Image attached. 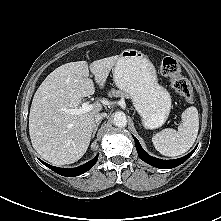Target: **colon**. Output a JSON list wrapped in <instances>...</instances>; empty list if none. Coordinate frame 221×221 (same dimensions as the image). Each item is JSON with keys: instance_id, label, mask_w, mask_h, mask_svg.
<instances>
[{"instance_id": "obj_1", "label": "colon", "mask_w": 221, "mask_h": 221, "mask_svg": "<svg viewBox=\"0 0 221 221\" xmlns=\"http://www.w3.org/2000/svg\"><path fill=\"white\" fill-rule=\"evenodd\" d=\"M162 75L169 78L175 91L188 103L194 98L193 89L186 78L181 75L179 63L171 57H165L160 66Z\"/></svg>"}]
</instances>
